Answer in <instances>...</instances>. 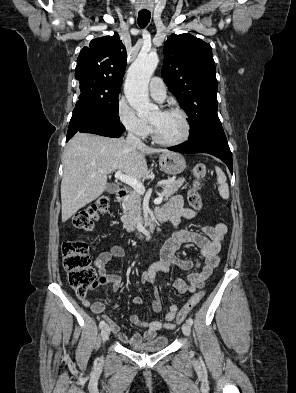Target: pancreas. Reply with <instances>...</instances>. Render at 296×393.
Returning <instances> with one entry per match:
<instances>
[{
    "label": "pancreas",
    "instance_id": "pancreas-1",
    "mask_svg": "<svg viewBox=\"0 0 296 393\" xmlns=\"http://www.w3.org/2000/svg\"><path fill=\"white\" fill-rule=\"evenodd\" d=\"M184 182V178H172L166 181L162 187L164 200L176 193ZM141 200V194L134 190L123 202L124 214L121 216V221L123 222V227L128 231L133 230L136 227L137 220L142 218Z\"/></svg>",
    "mask_w": 296,
    "mask_h": 393
}]
</instances>
